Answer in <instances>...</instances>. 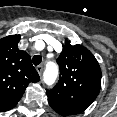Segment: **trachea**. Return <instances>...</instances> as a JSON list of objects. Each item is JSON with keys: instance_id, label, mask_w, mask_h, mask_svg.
I'll use <instances>...</instances> for the list:
<instances>
[{"instance_id": "3493384b", "label": "trachea", "mask_w": 117, "mask_h": 117, "mask_svg": "<svg viewBox=\"0 0 117 117\" xmlns=\"http://www.w3.org/2000/svg\"><path fill=\"white\" fill-rule=\"evenodd\" d=\"M32 61H33V64L37 66L42 62V57L40 55H35L33 56Z\"/></svg>"}]
</instances>
